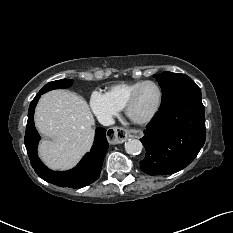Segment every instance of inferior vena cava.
Masks as SVG:
<instances>
[{
  "mask_svg": "<svg viewBox=\"0 0 233 233\" xmlns=\"http://www.w3.org/2000/svg\"><path fill=\"white\" fill-rule=\"evenodd\" d=\"M98 120L104 126H110V125H113L115 123L113 117L111 115H108V114H103V115L99 116Z\"/></svg>",
  "mask_w": 233,
  "mask_h": 233,
  "instance_id": "602c4592",
  "label": "inferior vena cava"
}]
</instances>
